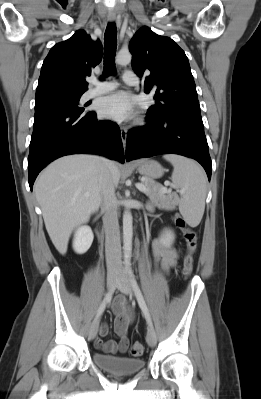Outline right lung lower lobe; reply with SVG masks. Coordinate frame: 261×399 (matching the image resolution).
<instances>
[{
    "label": "right lung lower lobe",
    "mask_w": 261,
    "mask_h": 399,
    "mask_svg": "<svg viewBox=\"0 0 261 399\" xmlns=\"http://www.w3.org/2000/svg\"><path fill=\"white\" fill-rule=\"evenodd\" d=\"M90 153L104 155L124 163L119 127L98 121L95 112L54 107L35 111L28 157L29 186L51 161L65 155Z\"/></svg>",
    "instance_id": "1"
}]
</instances>
